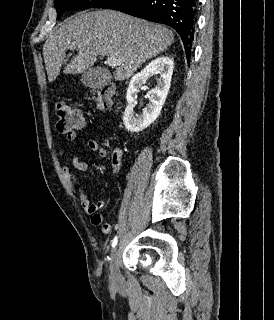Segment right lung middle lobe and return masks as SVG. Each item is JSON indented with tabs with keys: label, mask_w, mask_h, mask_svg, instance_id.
Instances as JSON below:
<instances>
[{
	"label": "right lung middle lobe",
	"mask_w": 274,
	"mask_h": 320,
	"mask_svg": "<svg viewBox=\"0 0 274 320\" xmlns=\"http://www.w3.org/2000/svg\"><path fill=\"white\" fill-rule=\"evenodd\" d=\"M111 0H55V7L58 12L57 18L67 10L78 8L103 7Z\"/></svg>",
	"instance_id": "dd1d6c3e"
}]
</instances>
